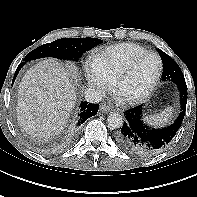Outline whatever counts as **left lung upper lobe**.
<instances>
[{
  "label": "left lung upper lobe",
  "mask_w": 197,
  "mask_h": 197,
  "mask_svg": "<svg viewBox=\"0 0 197 197\" xmlns=\"http://www.w3.org/2000/svg\"><path fill=\"white\" fill-rule=\"evenodd\" d=\"M158 53L163 62L162 80H171L176 84L186 83L184 75L178 64L162 50L158 49Z\"/></svg>",
  "instance_id": "1"
}]
</instances>
